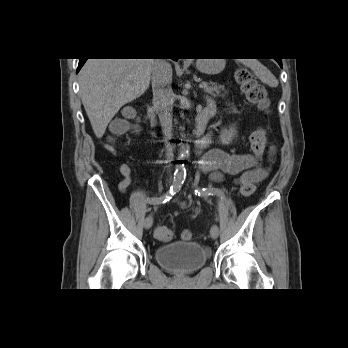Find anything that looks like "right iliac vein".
I'll list each match as a JSON object with an SVG mask.
<instances>
[{
    "mask_svg": "<svg viewBox=\"0 0 348 348\" xmlns=\"http://www.w3.org/2000/svg\"><path fill=\"white\" fill-rule=\"evenodd\" d=\"M153 224V219L151 216H148L144 221V227L145 229H149Z\"/></svg>",
    "mask_w": 348,
    "mask_h": 348,
    "instance_id": "1",
    "label": "right iliac vein"
}]
</instances>
